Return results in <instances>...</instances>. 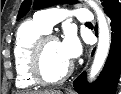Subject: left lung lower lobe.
<instances>
[{
    "instance_id": "obj_1",
    "label": "left lung lower lobe",
    "mask_w": 121,
    "mask_h": 94,
    "mask_svg": "<svg viewBox=\"0 0 121 94\" xmlns=\"http://www.w3.org/2000/svg\"><path fill=\"white\" fill-rule=\"evenodd\" d=\"M107 16L110 18L112 30L109 55L94 83L87 84L86 72L75 79L73 86L79 94H115L121 70V6L114 7Z\"/></svg>"
}]
</instances>
